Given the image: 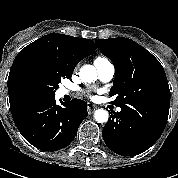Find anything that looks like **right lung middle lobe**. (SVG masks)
<instances>
[{"mask_svg":"<svg viewBox=\"0 0 178 178\" xmlns=\"http://www.w3.org/2000/svg\"><path fill=\"white\" fill-rule=\"evenodd\" d=\"M71 72H65L40 58H28L17 67L14 85L19 97H54L62 78L70 79Z\"/></svg>","mask_w":178,"mask_h":178,"instance_id":"obj_1","label":"right lung middle lobe"}]
</instances>
